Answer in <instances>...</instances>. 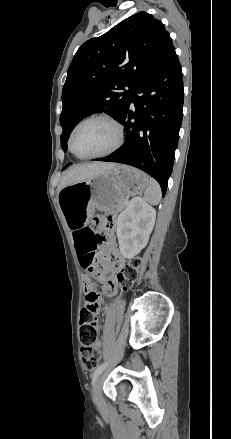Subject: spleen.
<instances>
[{"label": "spleen", "mask_w": 231, "mask_h": 439, "mask_svg": "<svg viewBox=\"0 0 231 439\" xmlns=\"http://www.w3.org/2000/svg\"><path fill=\"white\" fill-rule=\"evenodd\" d=\"M161 188L159 183L153 179H149L148 187L144 193V200L152 205H157L161 200Z\"/></svg>", "instance_id": "1"}]
</instances>
